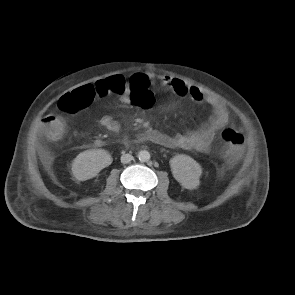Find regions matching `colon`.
Returning a JSON list of instances; mask_svg holds the SVG:
<instances>
[{"label":"colon","instance_id":"colon-1","mask_svg":"<svg viewBox=\"0 0 295 295\" xmlns=\"http://www.w3.org/2000/svg\"><path fill=\"white\" fill-rule=\"evenodd\" d=\"M127 86L126 80L121 76H113L106 80L96 82L94 85L81 86L72 92L64 95L59 102L60 110L63 113H77L88 106L97 96L105 94L124 93ZM130 101L138 109H146L152 106L155 96L149 93L148 87H129ZM44 134L51 141H58L65 131V122L61 116L54 115L44 123ZM224 146L222 154L230 161H236L243 151L244 136L234 128H227L222 132Z\"/></svg>","mask_w":295,"mask_h":295}]
</instances>
